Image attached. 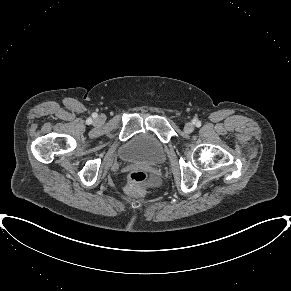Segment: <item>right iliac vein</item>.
<instances>
[{
    "label": "right iliac vein",
    "mask_w": 291,
    "mask_h": 291,
    "mask_svg": "<svg viewBox=\"0 0 291 291\" xmlns=\"http://www.w3.org/2000/svg\"><path fill=\"white\" fill-rule=\"evenodd\" d=\"M96 122H97L98 124L103 123V118H102V117H98V118L96 119Z\"/></svg>",
    "instance_id": "right-iliac-vein-1"
}]
</instances>
